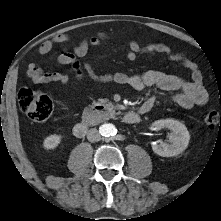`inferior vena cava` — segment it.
Listing matches in <instances>:
<instances>
[{"label":"inferior vena cava","mask_w":221,"mask_h":221,"mask_svg":"<svg viewBox=\"0 0 221 221\" xmlns=\"http://www.w3.org/2000/svg\"><path fill=\"white\" fill-rule=\"evenodd\" d=\"M100 138H101V136L96 128L90 129L87 133V139L90 142H97L100 140Z\"/></svg>","instance_id":"602c4592"}]
</instances>
